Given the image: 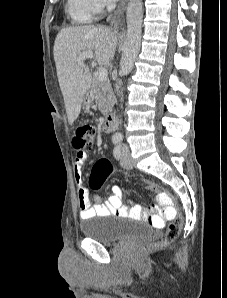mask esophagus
I'll list each match as a JSON object with an SVG mask.
<instances>
[{
    "label": "esophagus",
    "mask_w": 227,
    "mask_h": 298,
    "mask_svg": "<svg viewBox=\"0 0 227 298\" xmlns=\"http://www.w3.org/2000/svg\"><path fill=\"white\" fill-rule=\"evenodd\" d=\"M126 2H127V0H121L117 10L115 11L113 16L111 17V21H110L111 27L118 29L121 26L122 17H123V13H124V10H125Z\"/></svg>",
    "instance_id": "esophagus-1"
}]
</instances>
